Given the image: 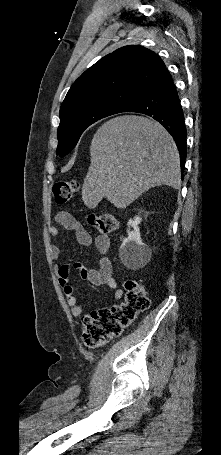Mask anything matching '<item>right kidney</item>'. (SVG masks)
<instances>
[{"mask_svg": "<svg viewBox=\"0 0 221 455\" xmlns=\"http://www.w3.org/2000/svg\"><path fill=\"white\" fill-rule=\"evenodd\" d=\"M139 216L130 219L127 223L129 229L127 230L128 237L125 238L119 249V257L122 263L128 268H136L140 264L144 263L150 256L149 247L142 242L140 238V232L138 225L141 222ZM130 227L133 228L130 231Z\"/></svg>", "mask_w": 221, "mask_h": 455, "instance_id": "obj_1", "label": "right kidney"}]
</instances>
